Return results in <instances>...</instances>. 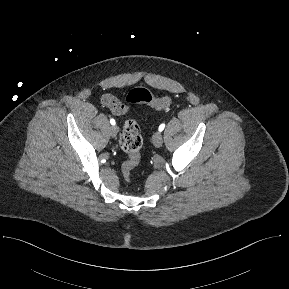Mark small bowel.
<instances>
[{"instance_id":"obj_1","label":"small bowel","mask_w":289,"mask_h":289,"mask_svg":"<svg viewBox=\"0 0 289 289\" xmlns=\"http://www.w3.org/2000/svg\"><path fill=\"white\" fill-rule=\"evenodd\" d=\"M101 104L108 108L116 116L124 115L131 109L129 104L121 102L112 94H104L101 97Z\"/></svg>"}]
</instances>
